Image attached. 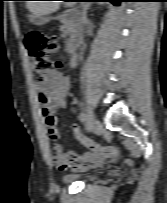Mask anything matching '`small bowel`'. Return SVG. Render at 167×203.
<instances>
[{"instance_id": "obj_1", "label": "small bowel", "mask_w": 167, "mask_h": 203, "mask_svg": "<svg viewBox=\"0 0 167 203\" xmlns=\"http://www.w3.org/2000/svg\"><path fill=\"white\" fill-rule=\"evenodd\" d=\"M37 89L43 87L49 96L46 103L41 104V113L52 141L50 150L52 160L60 170L74 169L78 171L100 167L107 159H116L120 150L115 145H102L83 135L81 127L74 123L72 131L75 137L88 148V152L78 155L74 152L63 151L58 142L59 134L56 129L55 112L68 106L70 77L67 71L50 69L42 73L35 81Z\"/></svg>"}]
</instances>
